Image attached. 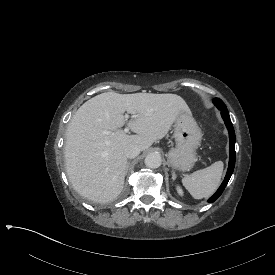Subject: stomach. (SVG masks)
Returning <instances> with one entry per match:
<instances>
[{"label": "stomach", "mask_w": 275, "mask_h": 275, "mask_svg": "<svg viewBox=\"0 0 275 275\" xmlns=\"http://www.w3.org/2000/svg\"><path fill=\"white\" fill-rule=\"evenodd\" d=\"M176 147L168 153L169 165L175 170H190L196 162V149L200 145L202 132L190 110H180L174 123Z\"/></svg>", "instance_id": "obj_1"}]
</instances>
